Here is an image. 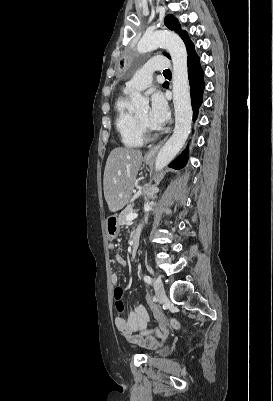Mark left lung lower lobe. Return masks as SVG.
<instances>
[{
  "label": "left lung lower lobe",
  "mask_w": 273,
  "mask_h": 401,
  "mask_svg": "<svg viewBox=\"0 0 273 401\" xmlns=\"http://www.w3.org/2000/svg\"><path fill=\"white\" fill-rule=\"evenodd\" d=\"M188 52V75L190 83V95L193 108V120L197 118L198 109L202 103L204 91V72L200 66L199 57L194 51V45L191 43L187 46ZM167 87V84H164ZM187 161L186 151H184L177 159H175L169 167L181 169Z\"/></svg>",
  "instance_id": "left-lung-lower-lobe-1"
}]
</instances>
